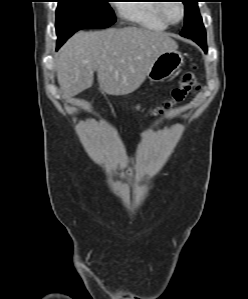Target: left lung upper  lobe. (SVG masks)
<instances>
[{"mask_svg": "<svg viewBox=\"0 0 248 299\" xmlns=\"http://www.w3.org/2000/svg\"><path fill=\"white\" fill-rule=\"evenodd\" d=\"M185 5V26L180 35L194 40L206 50V32L197 6L198 0H182Z\"/></svg>", "mask_w": 248, "mask_h": 299, "instance_id": "obj_1", "label": "left lung upper lobe"}]
</instances>
